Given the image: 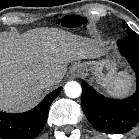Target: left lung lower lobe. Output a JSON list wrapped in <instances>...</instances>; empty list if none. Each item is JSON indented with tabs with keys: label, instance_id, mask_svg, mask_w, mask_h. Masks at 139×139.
<instances>
[{
	"label": "left lung lower lobe",
	"instance_id": "1",
	"mask_svg": "<svg viewBox=\"0 0 139 139\" xmlns=\"http://www.w3.org/2000/svg\"><path fill=\"white\" fill-rule=\"evenodd\" d=\"M118 49L136 73L137 89L133 96L124 100L105 98L82 82L83 111L89 122L105 133H125L139 122V36L133 32L120 39Z\"/></svg>",
	"mask_w": 139,
	"mask_h": 139
}]
</instances>
